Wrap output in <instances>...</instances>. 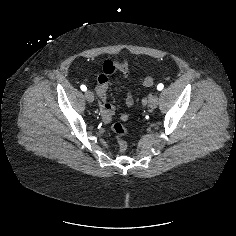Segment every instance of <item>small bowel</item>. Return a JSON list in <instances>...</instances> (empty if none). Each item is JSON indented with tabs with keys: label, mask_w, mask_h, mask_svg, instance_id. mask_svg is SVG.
<instances>
[{
	"label": "small bowel",
	"mask_w": 236,
	"mask_h": 236,
	"mask_svg": "<svg viewBox=\"0 0 236 236\" xmlns=\"http://www.w3.org/2000/svg\"><path fill=\"white\" fill-rule=\"evenodd\" d=\"M116 73H121L125 82H128L130 80V67L126 60L104 61L102 72L99 73L97 76V93L100 100L101 118L102 121L106 124L111 121L114 115V109L112 105L108 102L106 97V90L109 78L111 76H114ZM124 101L128 107H131L133 105V97L129 89H127L124 93ZM120 118L121 120L126 121L129 118V114L127 112H123L121 113Z\"/></svg>",
	"instance_id": "1"
}]
</instances>
